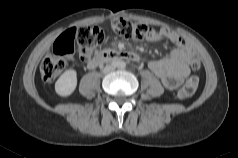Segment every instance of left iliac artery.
<instances>
[{
  "label": "left iliac artery",
  "mask_w": 238,
  "mask_h": 158,
  "mask_svg": "<svg viewBox=\"0 0 238 158\" xmlns=\"http://www.w3.org/2000/svg\"><path fill=\"white\" fill-rule=\"evenodd\" d=\"M121 67H124V64H121Z\"/></svg>",
  "instance_id": "1"
}]
</instances>
